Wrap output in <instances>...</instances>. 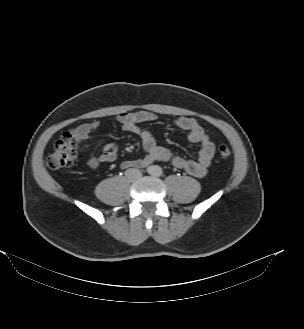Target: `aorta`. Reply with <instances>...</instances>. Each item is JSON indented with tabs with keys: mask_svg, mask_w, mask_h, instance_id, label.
Instances as JSON below:
<instances>
[{
	"mask_svg": "<svg viewBox=\"0 0 304 329\" xmlns=\"http://www.w3.org/2000/svg\"><path fill=\"white\" fill-rule=\"evenodd\" d=\"M161 172H162V169H161V167H159V166H153V167L151 168V174H153V175L158 176V175L161 174Z\"/></svg>",
	"mask_w": 304,
	"mask_h": 329,
	"instance_id": "762f6f07",
	"label": "aorta"
}]
</instances>
